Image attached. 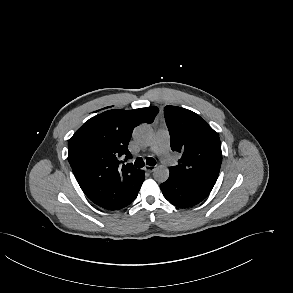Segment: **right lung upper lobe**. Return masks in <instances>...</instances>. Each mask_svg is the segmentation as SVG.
Listing matches in <instances>:
<instances>
[{
    "mask_svg": "<svg viewBox=\"0 0 293 293\" xmlns=\"http://www.w3.org/2000/svg\"><path fill=\"white\" fill-rule=\"evenodd\" d=\"M157 107L108 110L86 121L68 142V160L85 195L107 210H119L137 196L144 171L124 164L134 127L152 123Z\"/></svg>",
    "mask_w": 293,
    "mask_h": 293,
    "instance_id": "right-lung-upper-lobe-1",
    "label": "right lung upper lobe"
}]
</instances>
